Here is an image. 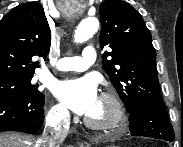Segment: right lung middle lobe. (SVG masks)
<instances>
[{
	"label": "right lung middle lobe",
	"mask_w": 183,
	"mask_h": 147,
	"mask_svg": "<svg viewBox=\"0 0 183 147\" xmlns=\"http://www.w3.org/2000/svg\"><path fill=\"white\" fill-rule=\"evenodd\" d=\"M33 74L0 80V95L5 94H37L38 85L31 83Z\"/></svg>",
	"instance_id": "right-lung-middle-lobe-1"
}]
</instances>
